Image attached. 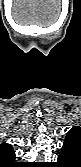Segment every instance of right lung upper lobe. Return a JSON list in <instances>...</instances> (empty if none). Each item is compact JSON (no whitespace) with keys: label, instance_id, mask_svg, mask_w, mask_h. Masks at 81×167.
Returning <instances> with one entry per match:
<instances>
[{"label":"right lung upper lobe","instance_id":"1","mask_svg":"<svg viewBox=\"0 0 81 167\" xmlns=\"http://www.w3.org/2000/svg\"><path fill=\"white\" fill-rule=\"evenodd\" d=\"M15 158V153L10 144H2L0 146V163L3 167H10V165L18 163L15 162Z\"/></svg>","mask_w":81,"mask_h":167}]
</instances>
